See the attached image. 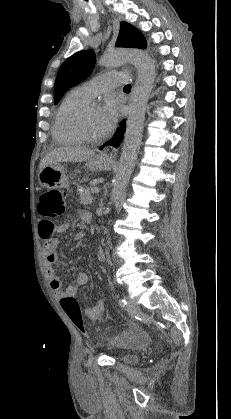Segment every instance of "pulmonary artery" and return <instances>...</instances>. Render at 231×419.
Segmentation results:
<instances>
[{
    "instance_id": "e3ab8cb5",
    "label": "pulmonary artery",
    "mask_w": 231,
    "mask_h": 419,
    "mask_svg": "<svg viewBox=\"0 0 231 419\" xmlns=\"http://www.w3.org/2000/svg\"><path fill=\"white\" fill-rule=\"evenodd\" d=\"M126 81L127 75L125 73L107 72L83 83L78 89L87 98L92 99L100 94L111 92L116 86Z\"/></svg>"
}]
</instances>
